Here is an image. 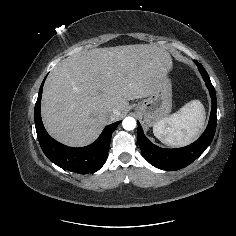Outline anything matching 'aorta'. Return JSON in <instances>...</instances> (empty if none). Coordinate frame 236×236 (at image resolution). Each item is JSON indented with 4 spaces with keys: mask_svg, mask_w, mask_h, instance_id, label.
Wrapping results in <instances>:
<instances>
[{
    "mask_svg": "<svg viewBox=\"0 0 236 236\" xmlns=\"http://www.w3.org/2000/svg\"><path fill=\"white\" fill-rule=\"evenodd\" d=\"M122 126L125 130H133L136 127V120L133 117H126L122 122Z\"/></svg>",
    "mask_w": 236,
    "mask_h": 236,
    "instance_id": "obj_1",
    "label": "aorta"
}]
</instances>
